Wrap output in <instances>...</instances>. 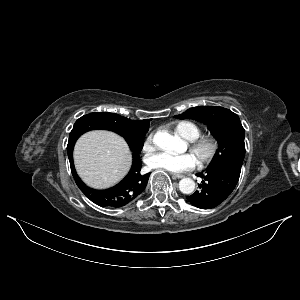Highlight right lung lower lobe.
<instances>
[{
    "label": "right lung lower lobe",
    "mask_w": 300,
    "mask_h": 300,
    "mask_svg": "<svg viewBox=\"0 0 300 300\" xmlns=\"http://www.w3.org/2000/svg\"><path fill=\"white\" fill-rule=\"evenodd\" d=\"M71 172L80 190L95 204L102 207H122L136 198L145 190L150 173L141 174V161L133 154V164L127 176L117 185L106 190H96L86 186L78 177L73 164V147L67 149Z\"/></svg>",
    "instance_id": "right-lung-lower-lobe-1"
}]
</instances>
